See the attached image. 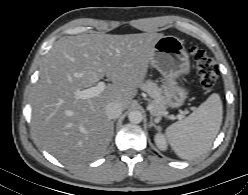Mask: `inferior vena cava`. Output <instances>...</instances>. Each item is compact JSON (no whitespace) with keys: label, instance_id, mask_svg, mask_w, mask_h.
Returning a JSON list of instances; mask_svg holds the SVG:
<instances>
[{"label":"inferior vena cava","instance_id":"obj_1","mask_svg":"<svg viewBox=\"0 0 248 195\" xmlns=\"http://www.w3.org/2000/svg\"><path fill=\"white\" fill-rule=\"evenodd\" d=\"M123 108L117 102H110L105 107V112L108 118L116 119L122 114Z\"/></svg>","mask_w":248,"mask_h":195}]
</instances>
